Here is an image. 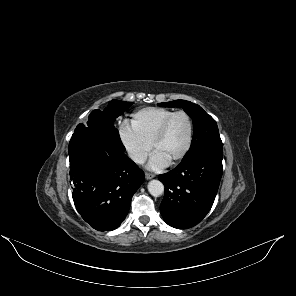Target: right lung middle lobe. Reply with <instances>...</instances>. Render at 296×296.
Returning <instances> with one entry per match:
<instances>
[{"label": "right lung middle lobe", "instance_id": "dd1d6c3e", "mask_svg": "<svg viewBox=\"0 0 296 296\" xmlns=\"http://www.w3.org/2000/svg\"><path fill=\"white\" fill-rule=\"evenodd\" d=\"M131 105L132 102L112 100L104 111H100L99 109L92 111L88 117L87 124L96 123L114 129L113 122Z\"/></svg>", "mask_w": 296, "mask_h": 296}]
</instances>
